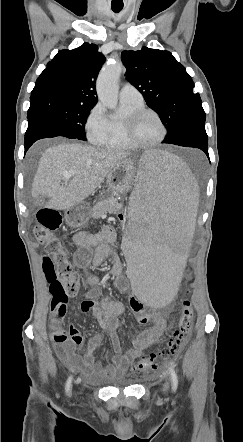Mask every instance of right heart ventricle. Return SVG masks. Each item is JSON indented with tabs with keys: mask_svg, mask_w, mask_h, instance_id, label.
Here are the masks:
<instances>
[{
	"mask_svg": "<svg viewBox=\"0 0 243 442\" xmlns=\"http://www.w3.org/2000/svg\"><path fill=\"white\" fill-rule=\"evenodd\" d=\"M144 107V103L121 101L119 113L106 120V129L93 142L109 149L127 150L132 147L127 143L124 135V121L134 111Z\"/></svg>",
	"mask_w": 243,
	"mask_h": 442,
	"instance_id": "right-heart-ventricle-1",
	"label": "right heart ventricle"
}]
</instances>
